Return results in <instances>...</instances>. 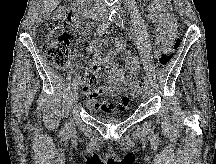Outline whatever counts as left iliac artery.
Masks as SVG:
<instances>
[{
  "mask_svg": "<svg viewBox=\"0 0 216 164\" xmlns=\"http://www.w3.org/2000/svg\"><path fill=\"white\" fill-rule=\"evenodd\" d=\"M114 22L116 23L117 26L124 28L125 25V21L123 18H121L120 16L114 19ZM144 83L148 84L149 80L146 76H144Z\"/></svg>",
  "mask_w": 216,
  "mask_h": 164,
  "instance_id": "obj_1",
  "label": "left iliac artery"
}]
</instances>
